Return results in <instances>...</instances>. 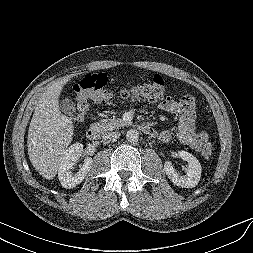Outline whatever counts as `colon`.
Segmentation results:
<instances>
[{
  "label": "colon",
  "instance_id": "colon-1",
  "mask_svg": "<svg viewBox=\"0 0 253 253\" xmlns=\"http://www.w3.org/2000/svg\"><path fill=\"white\" fill-rule=\"evenodd\" d=\"M106 84L107 77L103 73H95L85 76L75 85V120L81 121L85 118L90 100L103 104L137 100L156 102L162 99L166 92V80L160 75L153 76L147 83L118 92L106 90ZM187 98L193 100L191 95H187ZM202 154L206 158L212 155V146L207 141L204 143Z\"/></svg>",
  "mask_w": 253,
  "mask_h": 253
}]
</instances>
